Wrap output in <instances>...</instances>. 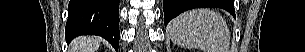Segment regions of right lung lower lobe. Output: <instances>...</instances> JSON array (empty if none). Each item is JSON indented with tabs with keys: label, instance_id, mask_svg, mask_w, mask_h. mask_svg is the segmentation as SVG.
<instances>
[{
	"label": "right lung lower lobe",
	"instance_id": "1",
	"mask_svg": "<svg viewBox=\"0 0 305 52\" xmlns=\"http://www.w3.org/2000/svg\"><path fill=\"white\" fill-rule=\"evenodd\" d=\"M79 35H98L118 50L119 0H70L66 41Z\"/></svg>",
	"mask_w": 305,
	"mask_h": 52
}]
</instances>
